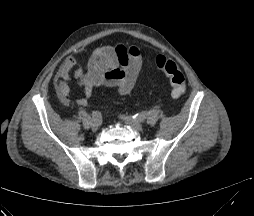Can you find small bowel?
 Segmentation results:
<instances>
[{
	"instance_id": "1",
	"label": "small bowel",
	"mask_w": 254,
	"mask_h": 216,
	"mask_svg": "<svg viewBox=\"0 0 254 216\" xmlns=\"http://www.w3.org/2000/svg\"><path fill=\"white\" fill-rule=\"evenodd\" d=\"M77 62L75 57H67L55 76L57 95L64 105L71 102L70 80L84 86V96L75 100L80 106L88 104L95 87L116 88L120 96L128 95L137 81L143 55L141 48L136 45L117 44L98 47L88 60L86 71H73Z\"/></svg>"
}]
</instances>
